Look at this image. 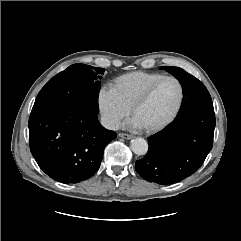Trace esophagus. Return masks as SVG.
<instances>
[{"label":"esophagus","mask_w":241,"mask_h":241,"mask_svg":"<svg viewBox=\"0 0 241 241\" xmlns=\"http://www.w3.org/2000/svg\"><path fill=\"white\" fill-rule=\"evenodd\" d=\"M118 136L121 138H124V139H132L133 138V135L126 134V133H119Z\"/></svg>","instance_id":"34e87169"}]
</instances>
